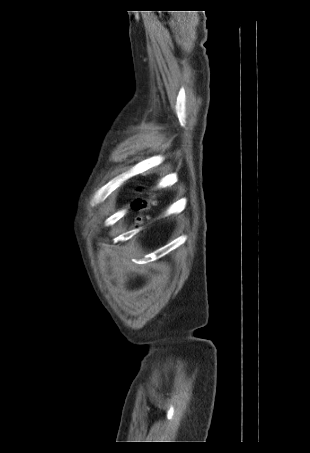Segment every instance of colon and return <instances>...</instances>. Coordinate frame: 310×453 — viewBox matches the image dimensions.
<instances>
[{
	"label": "colon",
	"mask_w": 310,
	"mask_h": 453,
	"mask_svg": "<svg viewBox=\"0 0 310 453\" xmlns=\"http://www.w3.org/2000/svg\"><path fill=\"white\" fill-rule=\"evenodd\" d=\"M157 203V195L152 193L147 198H137L133 202V209L137 213L136 224L137 227H142L147 218L146 212Z\"/></svg>",
	"instance_id": "obj_1"
}]
</instances>
